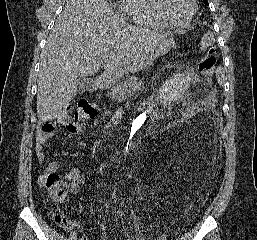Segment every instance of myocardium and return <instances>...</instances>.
Here are the masks:
<instances>
[{"label": "myocardium", "mask_w": 257, "mask_h": 240, "mask_svg": "<svg viewBox=\"0 0 257 240\" xmlns=\"http://www.w3.org/2000/svg\"><path fill=\"white\" fill-rule=\"evenodd\" d=\"M191 2V13L189 15V17L181 22V23H175L170 21L164 14L163 10H162V0H152V7L154 10L155 15L168 27L171 28H176V29H180V28H185L187 27L195 18L197 11H198V5H197V1L196 0H190Z\"/></svg>", "instance_id": "1"}]
</instances>
